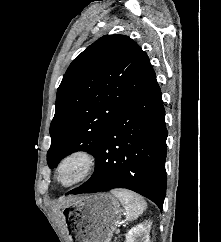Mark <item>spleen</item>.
Listing matches in <instances>:
<instances>
[{
	"mask_svg": "<svg viewBox=\"0 0 221 242\" xmlns=\"http://www.w3.org/2000/svg\"><path fill=\"white\" fill-rule=\"evenodd\" d=\"M111 193L120 200L125 209L126 218L129 221L137 219L147 208V203L143 197L132 191L113 189Z\"/></svg>",
	"mask_w": 221,
	"mask_h": 242,
	"instance_id": "3e777b00",
	"label": "spleen"
}]
</instances>
